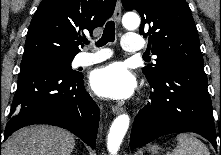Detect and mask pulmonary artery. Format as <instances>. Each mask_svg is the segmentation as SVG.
Instances as JSON below:
<instances>
[{"mask_svg": "<svg viewBox=\"0 0 221 155\" xmlns=\"http://www.w3.org/2000/svg\"><path fill=\"white\" fill-rule=\"evenodd\" d=\"M122 47L128 52H138L142 50L143 43L141 37L134 33H127L123 36ZM110 57L108 50H98L96 52H81L74 59L75 66H89L101 61L106 60Z\"/></svg>", "mask_w": 221, "mask_h": 155, "instance_id": "1", "label": "pulmonary artery"}]
</instances>
